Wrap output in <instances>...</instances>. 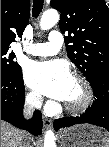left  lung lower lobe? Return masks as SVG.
Instances as JSON below:
<instances>
[{
    "label": "left lung lower lobe",
    "mask_w": 109,
    "mask_h": 147,
    "mask_svg": "<svg viewBox=\"0 0 109 147\" xmlns=\"http://www.w3.org/2000/svg\"><path fill=\"white\" fill-rule=\"evenodd\" d=\"M90 85L95 95L94 103L87 108L84 115L55 120V130L75 124L89 123L101 126L109 131V71L97 74Z\"/></svg>",
    "instance_id": "0a47b994"
}]
</instances>
